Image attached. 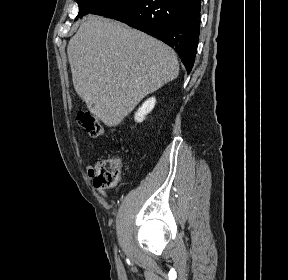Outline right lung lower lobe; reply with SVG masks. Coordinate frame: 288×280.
Returning <instances> with one entry per match:
<instances>
[{"instance_id":"right-lung-lower-lobe-1","label":"right lung lower lobe","mask_w":288,"mask_h":280,"mask_svg":"<svg viewBox=\"0 0 288 280\" xmlns=\"http://www.w3.org/2000/svg\"><path fill=\"white\" fill-rule=\"evenodd\" d=\"M201 0H110L91 14L116 19L171 46L188 73L199 38Z\"/></svg>"}]
</instances>
